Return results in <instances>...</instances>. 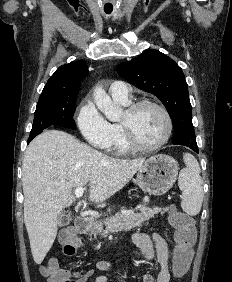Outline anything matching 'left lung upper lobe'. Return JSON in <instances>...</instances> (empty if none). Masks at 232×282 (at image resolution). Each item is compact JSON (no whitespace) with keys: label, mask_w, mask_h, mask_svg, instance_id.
<instances>
[{"label":"left lung upper lobe","mask_w":232,"mask_h":282,"mask_svg":"<svg viewBox=\"0 0 232 282\" xmlns=\"http://www.w3.org/2000/svg\"><path fill=\"white\" fill-rule=\"evenodd\" d=\"M117 72L137 88L160 99L173 120L174 139L185 145L197 144L188 85L175 61L158 50H149L117 65Z\"/></svg>","instance_id":"5c2ea615"}]
</instances>
